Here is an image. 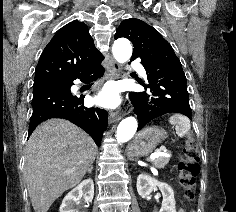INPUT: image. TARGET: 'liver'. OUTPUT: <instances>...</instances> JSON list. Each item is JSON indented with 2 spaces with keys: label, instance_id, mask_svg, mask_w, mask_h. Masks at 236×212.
Instances as JSON below:
<instances>
[{
  "label": "liver",
  "instance_id": "6515ba94",
  "mask_svg": "<svg viewBox=\"0 0 236 212\" xmlns=\"http://www.w3.org/2000/svg\"><path fill=\"white\" fill-rule=\"evenodd\" d=\"M97 146L82 129L64 119L41 123L26 145L24 176L35 212H47L66 190L81 182Z\"/></svg>",
  "mask_w": 236,
  "mask_h": 212
}]
</instances>
